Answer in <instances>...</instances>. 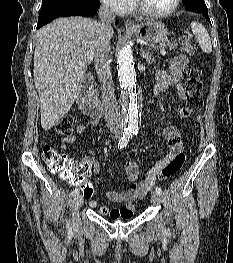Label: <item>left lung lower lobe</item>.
Instances as JSON below:
<instances>
[{"instance_id":"1","label":"left lung lower lobe","mask_w":233,"mask_h":263,"mask_svg":"<svg viewBox=\"0 0 233 263\" xmlns=\"http://www.w3.org/2000/svg\"><path fill=\"white\" fill-rule=\"evenodd\" d=\"M202 14L210 21V19H209V16H208V12L207 11H205V12H202Z\"/></svg>"}]
</instances>
